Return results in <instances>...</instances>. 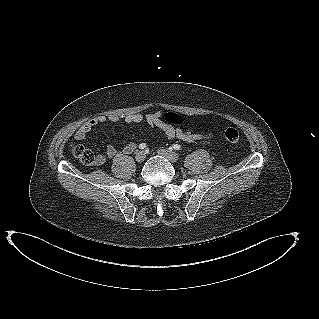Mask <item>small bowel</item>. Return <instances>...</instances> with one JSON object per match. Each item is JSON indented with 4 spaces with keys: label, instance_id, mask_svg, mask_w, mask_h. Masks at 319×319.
Listing matches in <instances>:
<instances>
[{
    "label": "small bowel",
    "instance_id": "small-bowel-1",
    "mask_svg": "<svg viewBox=\"0 0 319 319\" xmlns=\"http://www.w3.org/2000/svg\"><path fill=\"white\" fill-rule=\"evenodd\" d=\"M164 112L156 111L151 112L146 115H142L139 113L129 114L125 116L124 121L127 124H135L141 123L145 121L150 126H155L161 129L167 139L177 138L186 143H204L209 140V135L207 134H199L193 133L191 130L177 126L174 127L162 120L164 116ZM121 118L118 115L112 114L108 117L106 116H97L90 119L88 122L83 124L75 133V139L78 141H83L86 139L87 135L92 131L93 128L98 126L101 123L109 120L111 122H118ZM136 148V144L134 142L127 143L123 149L122 153L127 155L131 154ZM118 154L117 149L113 145L107 146L105 152L100 154L96 158V165H103L107 160L114 158Z\"/></svg>",
    "mask_w": 319,
    "mask_h": 319
}]
</instances>
